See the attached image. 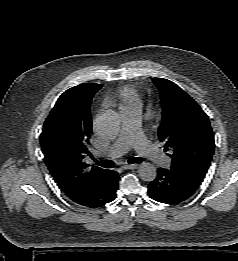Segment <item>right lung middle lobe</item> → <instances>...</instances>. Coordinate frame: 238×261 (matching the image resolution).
<instances>
[{"instance_id":"obj_1","label":"right lung middle lobe","mask_w":238,"mask_h":261,"mask_svg":"<svg viewBox=\"0 0 238 261\" xmlns=\"http://www.w3.org/2000/svg\"><path fill=\"white\" fill-rule=\"evenodd\" d=\"M66 113V108L62 105L57 106L56 108L54 107L49 114L48 117H50L53 121H57L61 119Z\"/></svg>"}]
</instances>
